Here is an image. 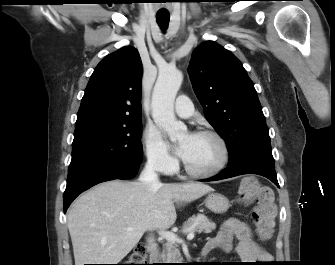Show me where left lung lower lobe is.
Instances as JSON below:
<instances>
[{"label": "left lung lower lobe", "instance_id": "0a47b994", "mask_svg": "<svg viewBox=\"0 0 335 265\" xmlns=\"http://www.w3.org/2000/svg\"><path fill=\"white\" fill-rule=\"evenodd\" d=\"M243 174H258L264 176L279 187L275 168L259 163H246L237 166H228L227 169L222 171L220 174L203 181L222 180Z\"/></svg>", "mask_w": 335, "mask_h": 265}]
</instances>
